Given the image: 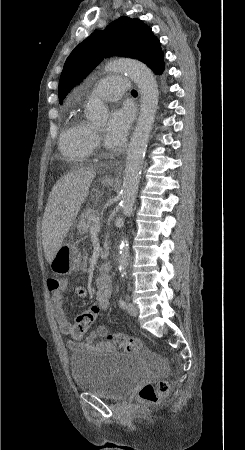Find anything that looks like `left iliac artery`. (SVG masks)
<instances>
[{
    "mask_svg": "<svg viewBox=\"0 0 245 450\" xmlns=\"http://www.w3.org/2000/svg\"><path fill=\"white\" fill-rule=\"evenodd\" d=\"M118 303H119V307H120V308H122V309L125 308L126 303H125V301H124L123 299H119Z\"/></svg>",
    "mask_w": 245,
    "mask_h": 450,
    "instance_id": "obj_1",
    "label": "left iliac artery"
}]
</instances>
